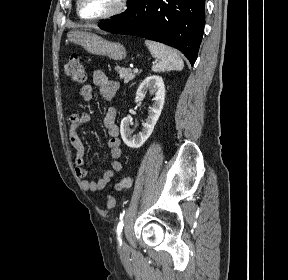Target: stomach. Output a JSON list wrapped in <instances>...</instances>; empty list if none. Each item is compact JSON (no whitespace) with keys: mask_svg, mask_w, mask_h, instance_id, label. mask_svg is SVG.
<instances>
[{"mask_svg":"<svg viewBox=\"0 0 288 280\" xmlns=\"http://www.w3.org/2000/svg\"><path fill=\"white\" fill-rule=\"evenodd\" d=\"M67 37L70 42L83 46L93 55L107 56L117 61L124 59L127 55L121 43L108 41L92 32L69 31Z\"/></svg>","mask_w":288,"mask_h":280,"instance_id":"1","label":"stomach"}]
</instances>
